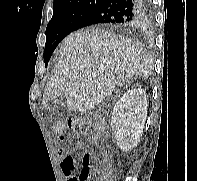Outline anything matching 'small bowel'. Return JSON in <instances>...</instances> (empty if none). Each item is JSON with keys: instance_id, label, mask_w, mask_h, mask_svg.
I'll list each match as a JSON object with an SVG mask.
<instances>
[{"instance_id": "small-bowel-1", "label": "small bowel", "mask_w": 197, "mask_h": 181, "mask_svg": "<svg viewBox=\"0 0 197 181\" xmlns=\"http://www.w3.org/2000/svg\"><path fill=\"white\" fill-rule=\"evenodd\" d=\"M57 157L61 161V168L66 181H77V176L75 175L76 159L72 155H69L64 147L57 150Z\"/></svg>"}]
</instances>
